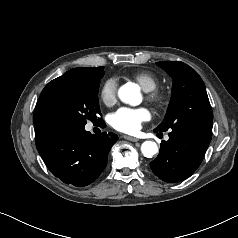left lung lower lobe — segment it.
I'll list each match as a JSON object with an SVG mask.
<instances>
[{
    "label": "left lung lower lobe",
    "instance_id": "1",
    "mask_svg": "<svg viewBox=\"0 0 238 238\" xmlns=\"http://www.w3.org/2000/svg\"><path fill=\"white\" fill-rule=\"evenodd\" d=\"M168 135L169 140L162 141L159 155L150 163V168L161 180L176 183L191 176L199 167L212 136L183 129L171 130Z\"/></svg>",
    "mask_w": 238,
    "mask_h": 238
}]
</instances>
